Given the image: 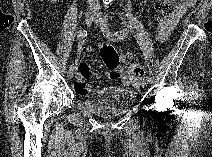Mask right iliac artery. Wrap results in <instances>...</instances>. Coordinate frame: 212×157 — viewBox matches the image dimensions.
Masks as SVG:
<instances>
[{
    "label": "right iliac artery",
    "instance_id": "1",
    "mask_svg": "<svg viewBox=\"0 0 212 157\" xmlns=\"http://www.w3.org/2000/svg\"><path fill=\"white\" fill-rule=\"evenodd\" d=\"M87 35H88V32H87V30H85V29L79 30V31L76 33L77 39H83V38H85ZM69 68L72 69V68H73V65H70Z\"/></svg>",
    "mask_w": 212,
    "mask_h": 157
}]
</instances>
